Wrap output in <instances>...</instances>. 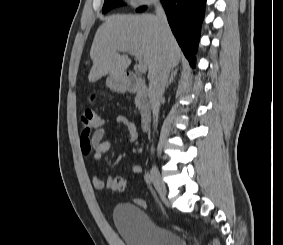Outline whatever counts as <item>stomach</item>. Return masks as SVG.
<instances>
[{
  "instance_id": "1",
  "label": "stomach",
  "mask_w": 283,
  "mask_h": 245,
  "mask_svg": "<svg viewBox=\"0 0 283 245\" xmlns=\"http://www.w3.org/2000/svg\"><path fill=\"white\" fill-rule=\"evenodd\" d=\"M107 85L111 88H122L124 86V80L120 76L110 75L107 79Z\"/></svg>"
}]
</instances>
